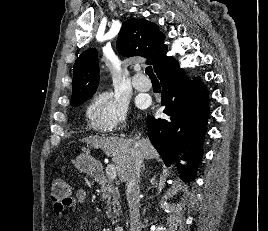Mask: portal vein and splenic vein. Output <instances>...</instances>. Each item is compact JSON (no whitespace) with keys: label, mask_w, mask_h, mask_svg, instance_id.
Instances as JSON below:
<instances>
[{"label":"portal vein and splenic vein","mask_w":268,"mask_h":231,"mask_svg":"<svg viewBox=\"0 0 268 231\" xmlns=\"http://www.w3.org/2000/svg\"><path fill=\"white\" fill-rule=\"evenodd\" d=\"M106 175H107L108 179H110V180L116 179L117 174H116V167L114 164L110 163L107 165Z\"/></svg>","instance_id":"obj_1"}]
</instances>
